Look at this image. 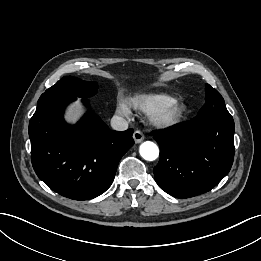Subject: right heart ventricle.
<instances>
[{
  "mask_svg": "<svg viewBox=\"0 0 261 261\" xmlns=\"http://www.w3.org/2000/svg\"><path fill=\"white\" fill-rule=\"evenodd\" d=\"M171 99L166 94H142L134 97L131 100V105L140 112L153 114Z\"/></svg>",
  "mask_w": 261,
  "mask_h": 261,
  "instance_id": "e07e8e85",
  "label": "right heart ventricle"
}]
</instances>
